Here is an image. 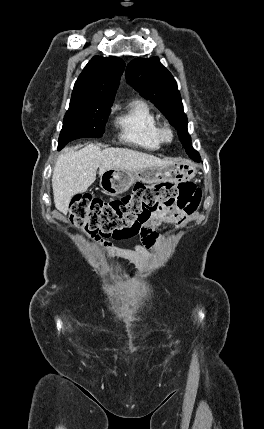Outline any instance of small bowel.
Instances as JSON below:
<instances>
[{"instance_id": "obj_1", "label": "small bowel", "mask_w": 264, "mask_h": 429, "mask_svg": "<svg viewBox=\"0 0 264 429\" xmlns=\"http://www.w3.org/2000/svg\"><path fill=\"white\" fill-rule=\"evenodd\" d=\"M188 220V215L178 209H171L161 214L154 215L147 223L140 229V235L143 244H138L133 250L115 248L111 243L104 241L101 238L95 240L106 250L108 253L130 259L134 254L149 257V250L155 247L160 241L161 237L155 232V228L163 223H174L178 226H183Z\"/></svg>"}]
</instances>
